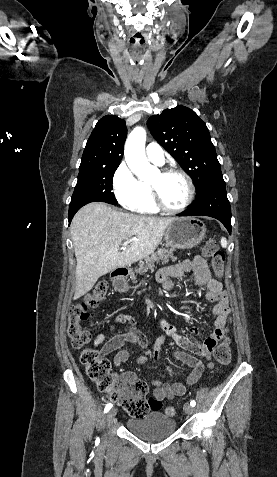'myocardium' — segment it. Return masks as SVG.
<instances>
[{
  "instance_id": "1",
  "label": "myocardium",
  "mask_w": 277,
  "mask_h": 477,
  "mask_svg": "<svg viewBox=\"0 0 277 477\" xmlns=\"http://www.w3.org/2000/svg\"><path fill=\"white\" fill-rule=\"evenodd\" d=\"M159 173L163 176L177 174L183 177L187 184L188 194L185 202L180 207L170 208L163 202L157 187L153 184H149V189L155 206L158 208V210L168 214H177L185 211L191 205L195 196V186L190 175L186 171L176 167L162 169L159 171Z\"/></svg>"
}]
</instances>
